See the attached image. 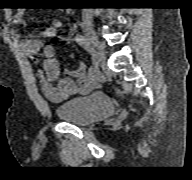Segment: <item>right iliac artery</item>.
Returning a JSON list of instances; mask_svg holds the SVG:
<instances>
[{
  "mask_svg": "<svg viewBox=\"0 0 192 180\" xmlns=\"http://www.w3.org/2000/svg\"><path fill=\"white\" fill-rule=\"evenodd\" d=\"M76 42L82 46L86 51L88 52H92L93 49L90 45L89 40L82 34H77L75 37Z\"/></svg>",
  "mask_w": 192,
  "mask_h": 180,
  "instance_id": "right-iliac-artery-1",
  "label": "right iliac artery"
}]
</instances>
